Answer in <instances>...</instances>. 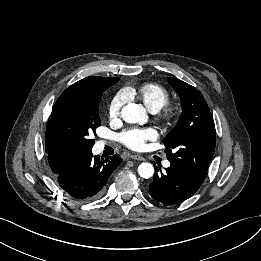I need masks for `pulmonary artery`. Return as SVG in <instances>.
I'll return each instance as SVG.
<instances>
[{"mask_svg": "<svg viewBox=\"0 0 261 261\" xmlns=\"http://www.w3.org/2000/svg\"><path fill=\"white\" fill-rule=\"evenodd\" d=\"M164 166H165V167H169V166H170V163H169L168 161H166V162L164 163Z\"/></svg>", "mask_w": 261, "mask_h": 261, "instance_id": "pulmonary-artery-1", "label": "pulmonary artery"}]
</instances>
